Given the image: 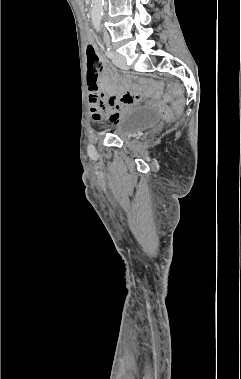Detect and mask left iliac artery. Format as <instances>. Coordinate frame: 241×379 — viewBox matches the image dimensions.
Wrapping results in <instances>:
<instances>
[{
	"mask_svg": "<svg viewBox=\"0 0 241 379\" xmlns=\"http://www.w3.org/2000/svg\"><path fill=\"white\" fill-rule=\"evenodd\" d=\"M106 55L109 58H112L114 56V52L111 50V46L109 43H107Z\"/></svg>",
	"mask_w": 241,
	"mask_h": 379,
	"instance_id": "left-iliac-artery-1",
	"label": "left iliac artery"
}]
</instances>
